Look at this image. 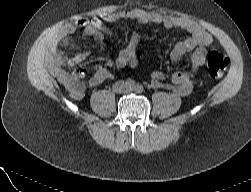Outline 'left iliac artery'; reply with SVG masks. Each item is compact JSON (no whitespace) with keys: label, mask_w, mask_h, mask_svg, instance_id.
<instances>
[{"label":"left iliac artery","mask_w":251,"mask_h":192,"mask_svg":"<svg viewBox=\"0 0 251 192\" xmlns=\"http://www.w3.org/2000/svg\"><path fill=\"white\" fill-rule=\"evenodd\" d=\"M135 90H136L137 92H141V91L143 90V86L137 84L136 87H135Z\"/></svg>","instance_id":"1"}]
</instances>
